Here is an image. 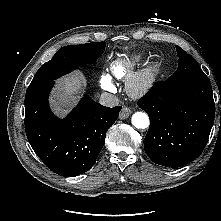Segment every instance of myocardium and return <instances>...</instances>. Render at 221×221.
Masks as SVG:
<instances>
[{
	"label": "myocardium",
	"instance_id": "obj_1",
	"mask_svg": "<svg viewBox=\"0 0 221 221\" xmlns=\"http://www.w3.org/2000/svg\"><path fill=\"white\" fill-rule=\"evenodd\" d=\"M157 63L151 62L135 72L127 81L126 88L131 96L146 94L156 81Z\"/></svg>",
	"mask_w": 221,
	"mask_h": 221
}]
</instances>
